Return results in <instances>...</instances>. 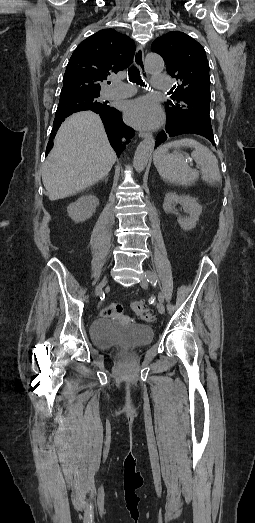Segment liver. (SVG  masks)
I'll list each match as a JSON object with an SVG mask.
<instances>
[{"label": "liver", "instance_id": "liver-1", "mask_svg": "<svg viewBox=\"0 0 255 523\" xmlns=\"http://www.w3.org/2000/svg\"><path fill=\"white\" fill-rule=\"evenodd\" d=\"M116 162L98 114L79 112L61 124L44 162L42 182L49 200L77 194L102 180Z\"/></svg>", "mask_w": 255, "mask_h": 523}]
</instances>
